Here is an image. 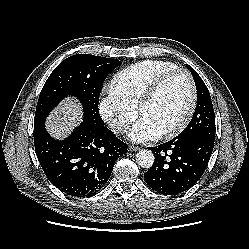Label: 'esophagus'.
<instances>
[{
  "label": "esophagus",
  "mask_w": 249,
  "mask_h": 249,
  "mask_svg": "<svg viewBox=\"0 0 249 249\" xmlns=\"http://www.w3.org/2000/svg\"><path fill=\"white\" fill-rule=\"evenodd\" d=\"M140 148L138 146L134 145H128V150L129 151H138Z\"/></svg>",
  "instance_id": "esophagus-1"
}]
</instances>
